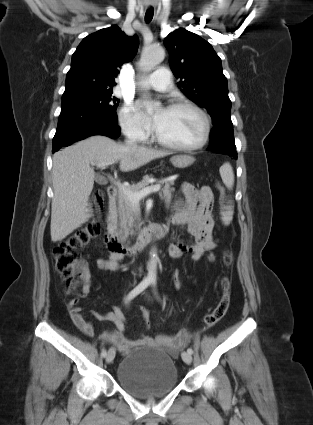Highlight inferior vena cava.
<instances>
[{"instance_id":"602c4592","label":"inferior vena cava","mask_w":313,"mask_h":425,"mask_svg":"<svg viewBox=\"0 0 313 425\" xmlns=\"http://www.w3.org/2000/svg\"><path fill=\"white\" fill-rule=\"evenodd\" d=\"M125 142L128 147H137L136 140L134 137H129L128 139H126Z\"/></svg>"}]
</instances>
